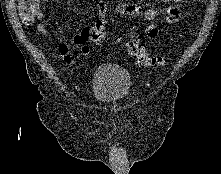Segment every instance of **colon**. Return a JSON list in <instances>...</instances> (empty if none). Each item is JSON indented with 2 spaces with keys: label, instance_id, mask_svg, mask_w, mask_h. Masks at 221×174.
<instances>
[{
  "label": "colon",
  "instance_id": "colon-1",
  "mask_svg": "<svg viewBox=\"0 0 221 174\" xmlns=\"http://www.w3.org/2000/svg\"><path fill=\"white\" fill-rule=\"evenodd\" d=\"M19 5V15L23 24L32 25L39 14L40 0H17ZM144 35L140 32H133L127 42L129 53L138 64L144 67H154L165 64L166 58L162 55H151L146 43L143 41ZM106 38V22L103 17H99L94 25L82 30L80 39L84 42L100 43ZM119 41V39H117ZM89 51V48L86 47Z\"/></svg>",
  "mask_w": 221,
  "mask_h": 174
}]
</instances>
